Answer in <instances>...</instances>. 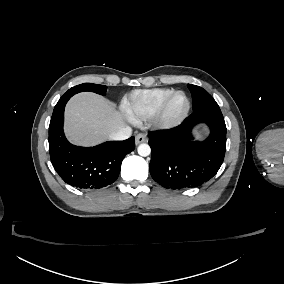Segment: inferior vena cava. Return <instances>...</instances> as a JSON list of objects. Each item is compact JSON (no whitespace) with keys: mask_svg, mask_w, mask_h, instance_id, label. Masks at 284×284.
Masks as SVG:
<instances>
[{"mask_svg":"<svg viewBox=\"0 0 284 284\" xmlns=\"http://www.w3.org/2000/svg\"><path fill=\"white\" fill-rule=\"evenodd\" d=\"M131 136H132L131 128L127 126H123V127L118 128L116 131L112 132L109 135V139L122 141V140H126L130 138Z\"/></svg>","mask_w":284,"mask_h":284,"instance_id":"obj_1","label":"inferior vena cava"}]
</instances>
